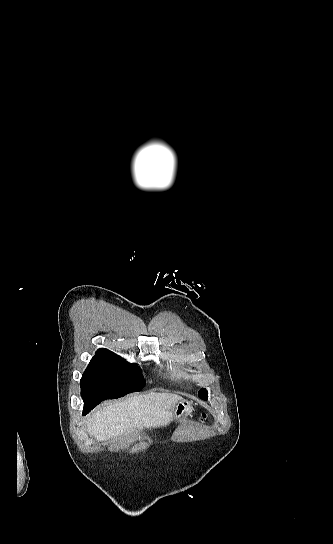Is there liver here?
Segmentation results:
<instances>
[{
	"label": "liver",
	"mask_w": 333,
	"mask_h": 544,
	"mask_svg": "<svg viewBox=\"0 0 333 544\" xmlns=\"http://www.w3.org/2000/svg\"><path fill=\"white\" fill-rule=\"evenodd\" d=\"M182 397L151 392L109 404L87 416L86 426L98 441L128 436L143 427L167 426Z\"/></svg>",
	"instance_id": "6515ba94"
}]
</instances>
